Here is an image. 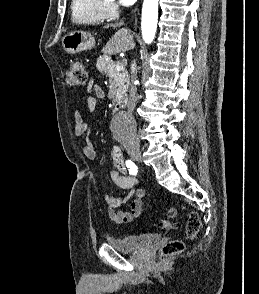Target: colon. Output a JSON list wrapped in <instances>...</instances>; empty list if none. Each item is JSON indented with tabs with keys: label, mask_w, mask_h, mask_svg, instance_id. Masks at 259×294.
I'll return each instance as SVG.
<instances>
[{
	"label": "colon",
	"mask_w": 259,
	"mask_h": 294,
	"mask_svg": "<svg viewBox=\"0 0 259 294\" xmlns=\"http://www.w3.org/2000/svg\"><path fill=\"white\" fill-rule=\"evenodd\" d=\"M65 83L68 87H81L87 83V73L84 63L79 59H74L69 63L65 75ZM170 218L177 216V209L170 207L167 211ZM158 226L164 230L175 228L176 224L169 220H161ZM200 229V220L197 214L191 213L186 224V234L189 238H194ZM184 242L181 240H172L167 242L160 250L162 255H174L184 250Z\"/></svg>",
	"instance_id": "1"
}]
</instances>
